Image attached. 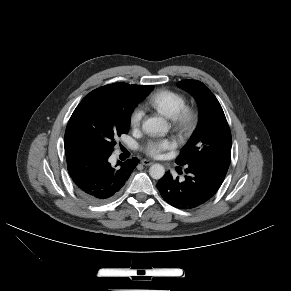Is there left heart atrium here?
Wrapping results in <instances>:
<instances>
[{"instance_id": "left-heart-atrium-1", "label": "left heart atrium", "mask_w": 291, "mask_h": 291, "mask_svg": "<svg viewBox=\"0 0 291 291\" xmlns=\"http://www.w3.org/2000/svg\"><path fill=\"white\" fill-rule=\"evenodd\" d=\"M175 143L171 139H152L145 145V151L152 157H158L163 151L172 149Z\"/></svg>"}]
</instances>
